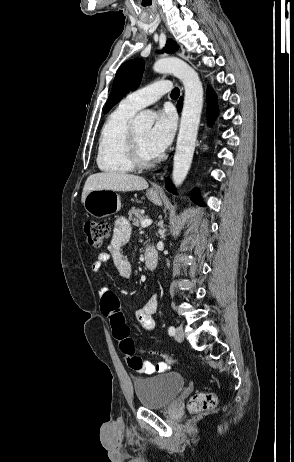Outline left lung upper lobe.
<instances>
[{
	"instance_id": "1",
	"label": "left lung upper lobe",
	"mask_w": 294,
	"mask_h": 462,
	"mask_svg": "<svg viewBox=\"0 0 294 462\" xmlns=\"http://www.w3.org/2000/svg\"><path fill=\"white\" fill-rule=\"evenodd\" d=\"M177 49L176 43L168 40L164 50L166 53H173ZM144 68L145 63L140 58L129 60L120 66L116 72L110 96L105 104L104 113H107L127 93L137 89L141 83Z\"/></svg>"
}]
</instances>
